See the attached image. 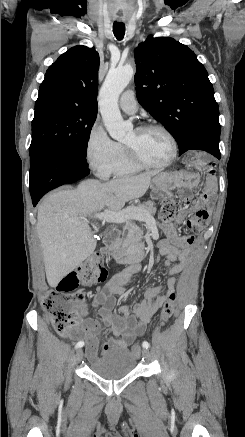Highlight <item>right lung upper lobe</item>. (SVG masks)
Segmentation results:
<instances>
[{"instance_id":"cb5924a9","label":"right lung upper lobe","mask_w":245,"mask_h":437,"mask_svg":"<svg viewBox=\"0 0 245 437\" xmlns=\"http://www.w3.org/2000/svg\"><path fill=\"white\" fill-rule=\"evenodd\" d=\"M99 54L79 45L62 54L47 70L35 107L60 104L97 112Z\"/></svg>"}]
</instances>
